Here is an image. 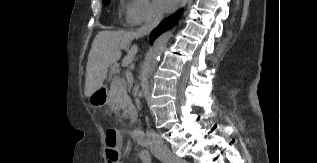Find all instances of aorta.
<instances>
[{"instance_id":"762f6f07","label":"aorta","mask_w":317,"mask_h":163,"mask_svg":"<svg viewBox=\"0 0 317 163\" xmlns=\"http://www.w3.org/2000/svg\"><path fill=\"white\" fill-rule=\"evenodd\" d=\"M172 36L171 32H166L160 35L153 43L150 51L148 52L146 62L143 68V76L145 79L153 72L155 69L157 62L163 53L165 47L167 46L170 38Z\"/></svg>"}]
</instances>
